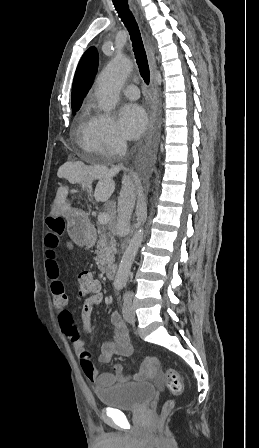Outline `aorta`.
Masks as SVG:
<instances>
[{
  "label": "aorta",
  "mask_w": 259,
  "mask_h": 448,
  "mask_svg": "<svg viewBox=\"0 0 259 448\" xmlns=\"http://www.w3.org/2000/svg\"><path fill=\"white\" fill-rule=\"evenodd\" d=\"M132 69L129 58L116 56L100 74L95 91L99 106L105 112H110L116 106L123 83ZM144 236V229L140 227L132 236L120 261L114 283L123 288L128 280L131 266Z\"/></svg>",
  "instance_id": "obj_1"
}]
</instances>
